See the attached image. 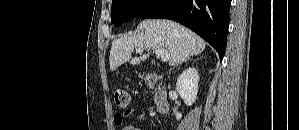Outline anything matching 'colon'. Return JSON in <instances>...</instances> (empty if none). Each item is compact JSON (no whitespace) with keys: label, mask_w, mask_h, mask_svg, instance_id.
I'll return each mask as SVG.
<instances>
[{"label":"colon","mask_w":299,"mask_h":130,"mask_svg":"<svg viewBox=\"0 0 299 130\" xmlns=\"http://www.w3.org/2000/svg\"><path fill=\"white\" fill-rule=\"evenodd\" d=\"M143 79L149 87H153L159 82L160 76L155 73H147L143 75ZM114 98L116 105L120 108H127L130 104V95L125 89H117Z\"/></svg>","instance_id":"5ec220e1"}]
</instances>
